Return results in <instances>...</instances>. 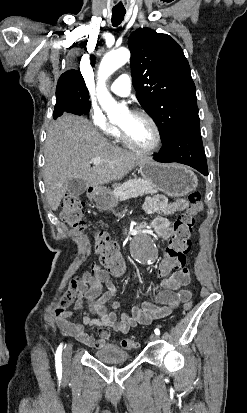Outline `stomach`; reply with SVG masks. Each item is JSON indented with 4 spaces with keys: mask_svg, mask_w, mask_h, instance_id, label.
I'll return each instance as SVG.
<instances>
[{
    "mask_svg": "<svg viewBox=\"0 0 247 413\" xmlns=\"http://www.w3.org/2000/svg\"><path fill=\"white\" fill-rule=\"evenodd\" d=\"M141 176L153 184L154 188L162 190L168 196H185L191 190H196L198 178L190 166L177 162H156L153 156H146L143 162H138ZM97 209L110 211L116 207L118 200L111 190L94 188L89 194Z\"/></svg>",
    "mask_w": 247,
    "mask_h": 413,
    "instance_id": "stomach-1",
    "label": "stomach"
}]
</instances>
